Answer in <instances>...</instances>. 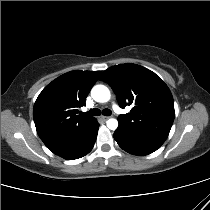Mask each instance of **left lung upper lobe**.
<instances>
[{"mask_svg":"<svg viewBox=\"0 0 210 210\" xmlns=\"http://www.w3.org/2000/svg\"><path fill=\"white\" fill-rule=\"evenodd\" d=\"M100 80L108 83L121 108L130 113L118 117L119 129L127 134L165 141L174 121V101L167 85L154 72L126 63L105 70Z\"/></svg>","mask_w":210,"mask_h":210,"instance_id":"5c2ea615","label":"left lung upper lobe"}]
</instances>
